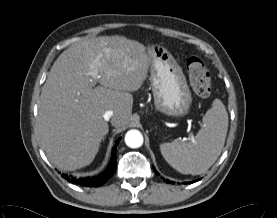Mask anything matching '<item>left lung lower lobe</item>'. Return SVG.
Listing matches in <instances>:
<instances>
[{
  "label": "left lung lower lobe",
  "mask_w": 277,
  "mask_h": 218,
  "mask_svg": "<svg viewBox=\"0 0 277 218\" xmlns=\"http://www.w3.org/2000/svg\"><path fill=\"white\" fill-rule=\"evenodd\" d=\"M154 171H155V173H156L157 175H159V173L156 171V169H155V168H154ZM166 182H167V183H170V181H169V180H166ZM194 182H196V181L189 182V183L191 184V183H194ZM172 183H174V182H172Z\"/></svg>",
  "instance_id": "0a47b994"
}]
</instances>
